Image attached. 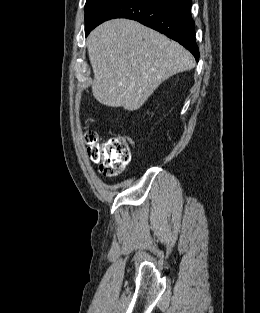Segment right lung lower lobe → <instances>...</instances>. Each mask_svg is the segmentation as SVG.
<instances>
[{"mask_svg":"<svg viewBox=\"0 0 260 313\" xmlns=\"http://www.w3.org/2000/svg\"><path fill=\"white\" fill-rule=\"evenodd\" d=\"M191 4L192 0H117L95 27L112 18L133 19L179 42L198 61Z\"/></svg>","mask_w":260,"mask_h":313,"instance_id":"obj_1","label":"right lung lower lobe"}]
</instances>
